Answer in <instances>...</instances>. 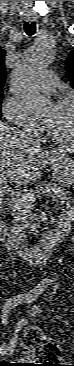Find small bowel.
I'll use <instances>...</instances> for the list:
<instances>
[{"label": "small bowel", "mask_w": 74, "mask_h": 366, "mask_svg": "<svg viewBox=\"0 0 74 366\" xmlns=\"http://www.w3.org/2000/svg\"><path fill=\"white\" fill-rule=\"evenodd\" d=\"M53 282V280L51 279V278H48L47 280H46V284H50V283H52ZM38 311V308L37 307H35V312H37ZM24 325V322H22V323H20V326H23ZM14 347H15V342H11L10 343V345H8V346H3L2 348H1V352H2V354H4V355H10V354H12L13 353V351H14Z\"/></svg>", "instance_id": "c3829d8e"}]
</instances>
